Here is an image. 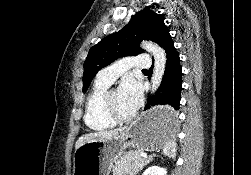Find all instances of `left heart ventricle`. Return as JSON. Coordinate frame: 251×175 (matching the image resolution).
I'll use <instances>...</instances> for the list:
<instances>
[{"label": "left heart ventricle", "mask_w": 251, "mask_h": 175, "mask_svg": "<svg viewBox=\"0 0 251 175\" xmlns=\"http://www.w3.org/2000/svg\"><path fill=\"white\" fill-rule=\"evenodd\" d=\"M110 107L113 112L120 115H129L130 113L121 105L118 98V90L112 91L109 97Z\"/></svg>", "instance_id": "1"}]
</instances>
